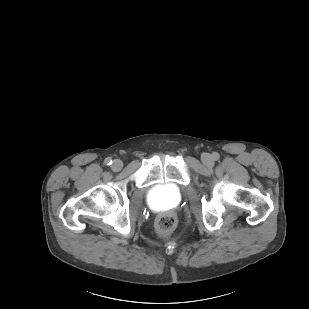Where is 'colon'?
I'll list each match as a JSON object with an SVG mask.
<instances>
[{
    "instance_id": "5ec220e1",
    "label": "colon",
    "mask_w": 309,
    "mask_h": 309,
    "mask_svg": "<svg viewBox=\"0 0 309 309\" xmlns=\"http://www.w3.org/2000/svg\"><path fill=\"white\" fill-rule=\"evenodd\" d=\"M177 219L174 214L165 213L161 215L156 223V229L160 236L168 235L176 226Z\"/></svg>"
}]
</instances>
